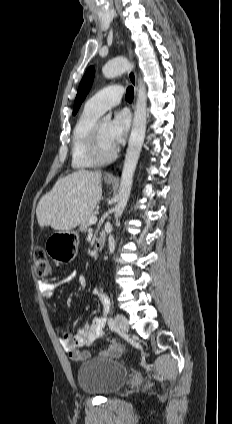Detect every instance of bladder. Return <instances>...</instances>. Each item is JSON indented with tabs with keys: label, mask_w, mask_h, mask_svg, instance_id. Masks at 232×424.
I'll list each match as a JSON object with an SVG mask.
<instances>
[{
	"label": "bladder",
	"mask_w": 232,
	"mask_h": 424,
	"mask_svg": "<svg viewBox=\"0 0 232 424\" xmlns=\"http://www.w3.org/2000/svg\"><path fill=\"white\" fill-rule=\"evenodd\" d=\"M128 375V370L117 360L93 358L79 367L77 380L85 393L108 396L125 385Z\"/></svg>",
	"instance_id": "31cf9c89"
}]
</instances>
